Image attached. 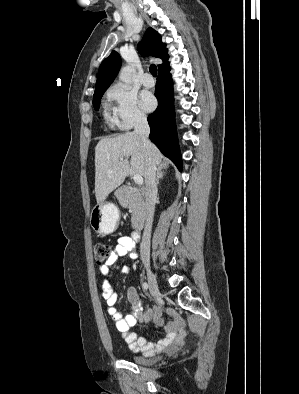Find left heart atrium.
<instances>
[{
  "mask_svg": "<svg viewBox=\"0 0 299 394\" xmlns=\"http://www.w3.org/2000/svg\"><path fill=\"white\" fill-rule=\"evenodd\" d=\"M141 106L145 111H152L156 107V99L148 92L141 94Z\"/></svg>",
  "mask_w": 299,
  "mask_h": 394,
  "instance_id": "obj_1",
  "label": "left heart atrium"
}]
</instances>
